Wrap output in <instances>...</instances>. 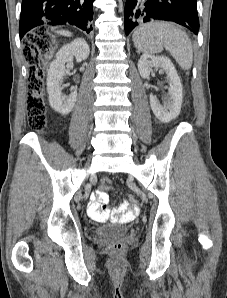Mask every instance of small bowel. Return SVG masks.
<instances>
[{"mask_svg": "<svg viewBox=\"0 0 227 298\" xmlns=\"http://www.w3.org/2000/svg\"><path fill=\"white\" fill-rule=\"evenodd\" d=\"M110 182L108 179H104ZM109 201L107 190H97L91 196V202L88 206V215L97 221L106 220L117 213H121V218L123 220H129L135 213L138 212V207L129 208L124 203L120 205L118 209L110 210L106 207Z\"/></svg>", "mask_w": 227, "mask_h": 298, "instance_id": "small-bowel-1", "label": "small bowel"}]
</instances>
